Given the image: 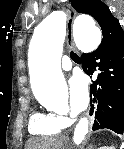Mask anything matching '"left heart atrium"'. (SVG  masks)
<instances>
[{"mask_svg": "<svg viewBox=\"0 0 124 149\" xmlns=\"http://www.w3.org/2000/svg\"><path fill=\"white\" fill-rule=\"evenodd\" d=\"M69 100L71 111L77 115L87 108L89 91L86 79L81 75H74L69 82Z\"/></svg>", "mask_w": 124, "mask_h": 149, "instance_id": "left-heart-atrium-1", "label": "left heart atrium"}]
</instances>
